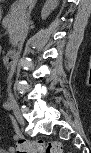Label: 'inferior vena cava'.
<instances>
[{
	"label": "inferior vena cava",
	"instance_id": "inferior-vena-cava-1",
	"mask_svg": "<svg viewBox=\"0 0 91 153\" xmlns=\"http://www.w3.org/2000/svg\"><path fill=\"white\" fill-rule=\"evenodd\" d=\"M34 3H35V0H29L28 1V6H29L28 11L21 13V16H22V30H21L20 35H19L20 44H17V47H20V48L22 47V43H23V41L26 37L27 30H28V25H29V16H30L29 11L33 7ZM15 53H20V50H15ZM17 57H18V54H13L12 60H10V63H9V66H11L10 70H12L9 73V87H10V79L12 78V75H13V68L15 66Z\"/></svg>",
	"mask_w": 91,
	"mask_h": 153
}]
</instances>
